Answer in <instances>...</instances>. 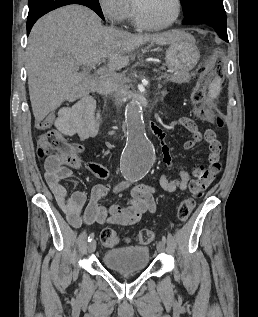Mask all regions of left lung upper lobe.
I'll return each instance as SVG.
<instances>
[{
  "label": "left lung upper lobe",
  "mask_w": 258,
  "mask_h": 317,
  "mask_svg": "<svg viewBox=\"0 0 258 317\" xmlns=\"http://www.w3.org/2000/svg\"><path fill=\"white\" fill-rule=\"evenodd\" d=\"M184 11V23L196 25L211 22L226 27L223 0H180Z\"/></svg>",
  "instance_id": "left-lung-upper-lobe-1"
}]
</instances>
